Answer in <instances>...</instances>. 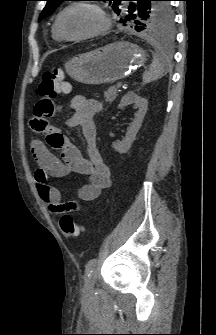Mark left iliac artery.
<instances>
[{
	"label": "left iliac artery",
	"instance_id": "1",
	"mask_svg": "<svg viewBox=\"0 0 216 335\" xmlns=\"http://www.w3.org/2000/svg\"><path fill=\"white\" fill-rule=\"evenodd\" d=\"M97 263V259L93 258L88 261V263L85 266V279L90 276L92 273L93 268L95 267Z\"/></svg>",
	"mask_w": 216,
	"mask_h": 335
}]
</instances>
